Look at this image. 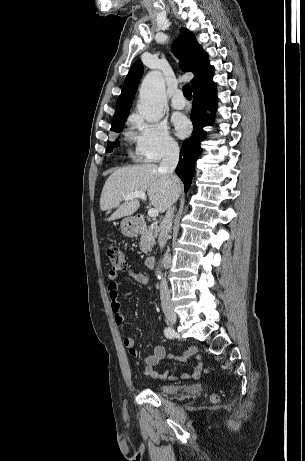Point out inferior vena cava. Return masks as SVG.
<instances>
[{
  "mask_svg": "<svg viewBox=\"0 0 305 461\" xmlns=\"http://www.w3.org/2000/svg\"><path fill=\"white\" fill-rule=\"evenodd\" d=\"M179 161V147L177 143H168L163 151L162 161L159 165V171L165 173L169 178H172L173 172ZM177 197L172 198L171 206L167 209L165 217L160 224V234L158 237V243L160 248H163L167 242L168 234L172 227V218L174 213V206ZM160 300L163 310H166L172 306L171 296L168 289V284L165 278L162 279L160 284Z\"/></svg>",
  "mask_w": 305,
  "mask_h": 461,
  "instance_id": "1",
  "label": "inferior vena cava"
}]
</instances>
